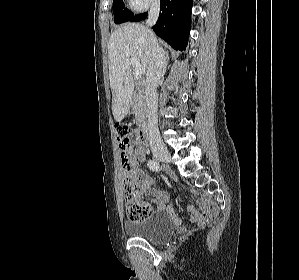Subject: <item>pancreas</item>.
<instances>
[{"label":"pancreas","instance_id":"cf45deb5","mask_svg":"<svg viewBox=\"0 0 299 280\" xmlns=\"http://www.w3.org/2000/svg\"><path fill=\"white\" fill-rule=\"evenodd\" d=\"M135 120L138 126H141L145 118V105L142 95H136L133 98Z\"/></svg>","mask_w":299,"mask_h":280}]
</instances>
